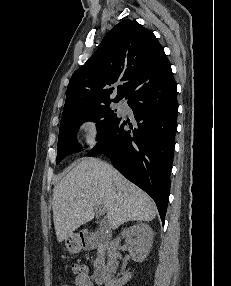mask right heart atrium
Wrapping results in <instances>:
<instances>
[{
  "instance_id": "obj_1",
  "label": "right heart atrium",
  "mask_w": 231,
  "mask_h": 286,
  "mask_svg": "<svg viewBox=\"0 0 231 286\" xmlns=\"http://www.w3.org/2000/svg\"><path fill=\"white\" fill-rule=\"evenodd\" d=\"M81 134L84 142L90 147H95L99 142V127L94 119H86L81 124Z\"/></svg>"
}]
</instances>
